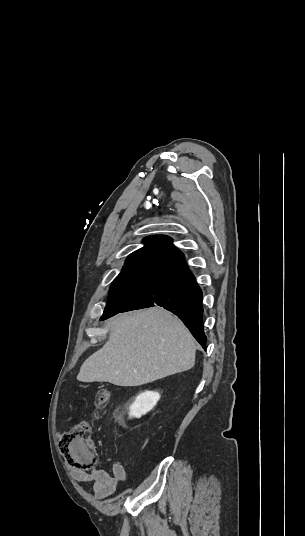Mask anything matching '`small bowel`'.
<instances>
[{
	"label": "small bowel",
	"mask_w": 305,
	"mask_h": 536,
	"mask_svg": "<svg viewBox=\"0 0 305 536\" xmlns=\"http://www.w3.org/2000/svg\"><path fill=\"white\" fill-rule=\"evenodd\" d=\"M72 474L81 482H90L93 492L98 499L111 496L119 481L126 480V472L120 463H113L110 472L92 466L88 472L71 468Z\"/></svg>",
	"instance_id": "small-bowel-1"
}]
</instances>
